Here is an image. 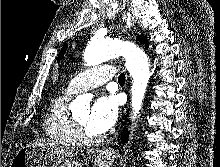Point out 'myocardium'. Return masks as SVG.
I'll return each instance as SVG.
<instances>
[{"instance_id":"myocardium-1","label":"myocardium","mask_w":220,"mask_h":167,"mask_svg":"<svg viewBox=\"0 0 220 167\" xmlns=\"http://www.w3.org/2000/svg\"><path fill=\"white\" fill-rule=\"evenodd\" d=\"M72 125H73V133L77 143L81 145H94L101 142L102 137L99 135L90 136L88 135L81 123L76 118L75 114H72Z\"/></svg>"}]
</instances>
